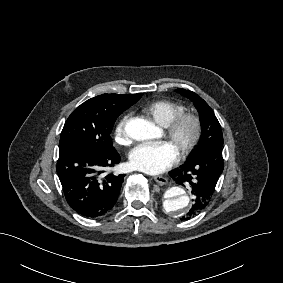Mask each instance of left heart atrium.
Masks as SVG:
<instances>
[{
	"label": "left heart atrium",
	"mask_w": 283,
	"mask_h": 283,
	"mask_svg": "<svg viewBox=\"0 0 283 283\" xmlns=\"http://www.w3.org/2000/svg\"><path fill=\"white\" fill-rule=\"evenodd\" d=\"M179 153L166 141L142 143L134 147L128 155L132 169L148 175H156L171 168L178 160Z\"/></svg>",
	"instance_id": "1"
}]
</instances>
